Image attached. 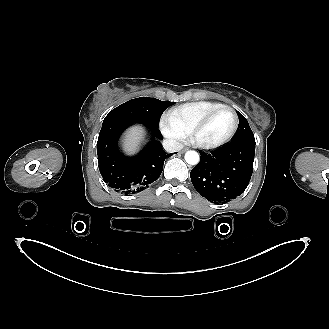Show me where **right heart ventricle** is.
<instances>
[{
    "label": "right heart ventricle",
    "instance_id": "e07e8e85",
    "mask_svg": "<svg viewBox=\"0 0 329 329\" xmlns=\"http://www.w3.org/2000/svg\"><path fill=\"white\" fill-rule=\"evenodd\" d=\"M222 105L224 104L214 101L191 102L174 107L167 116L185 134H188L199 120Z\"/></svg>",
    "mask_w": 329,
    "mask_h": 329
}]
</instances>
